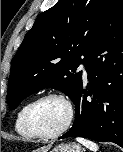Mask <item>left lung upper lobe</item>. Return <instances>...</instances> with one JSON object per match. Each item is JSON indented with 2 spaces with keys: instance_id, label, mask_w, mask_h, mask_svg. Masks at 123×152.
Instances as JSON below:
<instances>
[{
  "instance_id": "left-lung-upper-lobe-1",
  "label": "left lung upper lobe",
  "mask_w": 123,
  "mask_h": 152,
  "mask_svg": "<svg viewBox=\"0 0 123 152\" xmlns=\"http://www.w3.org/2000/svg\"><path fill=\"white\" fill-rule=\"evenodd\" d=\"M121 0H60L41 13L12 60L7 100L15 109L29 95L55 88L75 100L82 72ZM84 57V59H81Z\"/></svg>"
}]
</instances>
